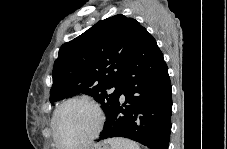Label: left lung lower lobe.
Masks as SVG:
<instances>
[{
    "mask_svg": "<svg viewBox=\"0 0 227 149\" xmlns=\"http://www.w3.org/2000/svg\"><path fill=\"white\" fill-rule=\"evenodd\" d=\"M122 94L124 103L120 101ZM171 113L168 68L156 40L143 27L123 75L119 97L96 141L125 137L150 149H168Z\"/></svg>",
    "mask_w": 227,
    "mask_h": 149,
    "instance_id": "obj_1",
    "label": "left lung lower lobe"
}]
</instances>
